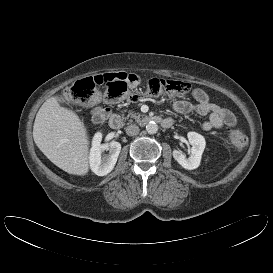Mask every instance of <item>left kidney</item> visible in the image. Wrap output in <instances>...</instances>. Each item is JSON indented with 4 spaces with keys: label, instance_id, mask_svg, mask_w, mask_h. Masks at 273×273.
<instances>
[{
    "label": "left kidney",
    "instance_id": "left-kidney-1",
    "mask_svg": "<svg viewBox=\"0 0 273 273\" xmlns=\"http://www.w3.org/2000/svg\"><path fill=\"white\" fill-rule=\"evenodd\" d=\"M189 143L192 145L191 155L187 158L181 151L174 150L173 158L185 169L193 170L196 169L201 162V157L204 152L206 141L205 138L196 133L189 132L187 134Z\"/></svg>",
    "mask_w": 273,
    "mask_h": 273
}]
</instances>
